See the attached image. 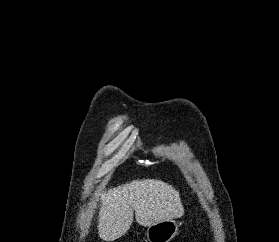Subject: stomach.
I'll use <instances>...</instances> for the list:
<instances>
[{"mask_svg": "<svg viewBox=\"0 0 279 242\" xmlns=\"http://www.w3.org/2000/svg\"><path fill=\"white\" fill-rule=\"evenodd\" d=\"M179 224L174 219L155 223L147 228L148 242H170L177 234Z\"/></svg>", "mask_w": 279, "mask_h": 242, "instance_id": "stomach-1", "label": "stomach"}]
</instances>
